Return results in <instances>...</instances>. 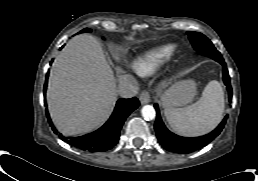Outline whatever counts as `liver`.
Wrapping results in <instances>:
<instances>
[{"mask_svg": "<svg viewBox=\"0 0 258 181\" xmlns=\"http://www.w3.org/2000/svg\"><path fill=\"white\" fill-rule=\"evenodd\" d=\"M116 99V79L98 41L73 37L50 70L47 104L55 126L64 135L89 132L108 118Z\"/></svg>", "mask_w": 258, "mask_h": 181, "instance_id": "1", "label": "liver"}]
</instances>
